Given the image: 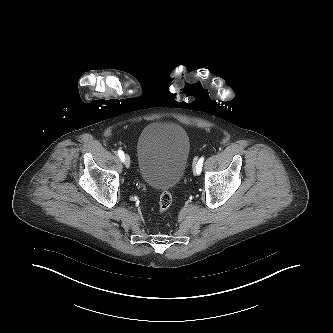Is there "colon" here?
Wrapping results in <instances>:
<instances>
[{"label": "colon", "mask_w": 333, "mask_h": 333, "mask_svg": "<svg viewBox=\"0 0 333 333\" xmlns=\"http://www.w3.org/2000/svg\"><path fill=\"white\" fill-rule=\"evenodd\" d=\"M171 204H172V196L170 192L167 190H162L159 195V201H158L160 214H164L169 209Z\"/></svg>", "instance_id": "1"}]
</instances>
